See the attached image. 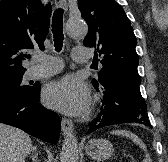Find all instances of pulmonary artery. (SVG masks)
<instances>
[{
  "label": "pulmonary artery",
  "mask_w": 168,
  "mask_h": 162,
  "mask_svg": "<svg viewBox=\"0 0 168 162\" xmlns=\"http://www.w3.org/2000/svg\"><path fill=\"white\" fill-rule=\"evenodd\" d=\"M72 57L76 62H87L89 55L85 48L75 47L72 50ZM38 65L28 69L26 76L28 78H39L59 72L62 69V63L59 59L49 57L47 59L36 58Z\"/></svg>",
  "instance_id": "obj_1"
}]
</instances>
